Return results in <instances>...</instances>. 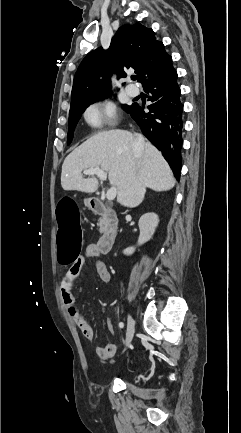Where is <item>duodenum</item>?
Listing matches in <instances>:
<instances>
[{"mask_svg": "<svg viewBox=\"0 0 241 433\" xmlns=\"http://www.w3.org/2000/svg\"><path fill=\"white\" fill-rule=\"evenodd\" d=\"M88 205L92 212L103 217L104 229L97 242V247L100 253L108 254L113 248L117 237L118 222L116 213L99 198H90Z\"/></svg>", "mask_w": 241, "mask_h": 433, "instance_id": "duodenum-1", "label": "duodenum"}]
</instances>
